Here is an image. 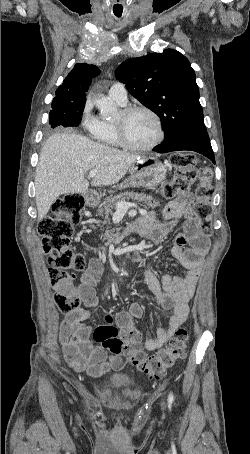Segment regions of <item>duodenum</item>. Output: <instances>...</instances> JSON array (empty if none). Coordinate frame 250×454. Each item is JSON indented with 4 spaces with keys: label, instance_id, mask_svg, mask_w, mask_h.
Masks as SVG:
<instances>
[{
    "label": "duodenum",
    "instance_id": "duodenum-1",
    "mask_svg": "<svg viewBox=\"0 0 250 454\" xmlns=\"http://www.w3.org/2000/svg\"><path fill=\"white\" fill-rule=\"evenodd\" d=\"M95 203H96V196L93 195V194H88V195H87V198H86V204H87L88 206H90V207H93V206L95 205ZM136 223H137V222H136ZM136 223H134V224L126 231V233L137 232L138 229H137L136 226H135ZM101 250H103V249H101Z\"/></svg>",
    "mask_w": 250,
    "mask_h": 454
}]
</instances>
